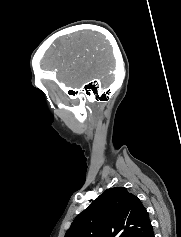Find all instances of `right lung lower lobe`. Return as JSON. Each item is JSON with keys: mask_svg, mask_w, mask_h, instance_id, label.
Instances as JSON below:
<instances>
[{"mask_svg": "<svg viewBox=\"0 0 181 237\" xmlns=\"http://www.w3.org/2000/svg\"><path fill=\"white\" fill-rule=\"evenodd\" d=\"M151 237H154V234L152 233Z\"/></svg>", "mask_w": 181, "mask_h": 237, "instance_id": "obj_1", "label": "right lung lower lobe"}]
</instances>
